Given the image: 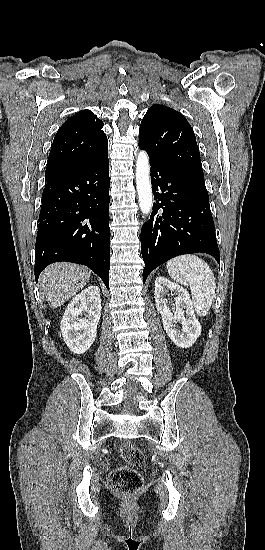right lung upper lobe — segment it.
Wrapping results in <instances>:
<instances>
[{"mask_svg": "<svg viewBox=\"0 0 265 550\" xmlns=\"http://www.w3.org/2000/svg\"><path fill=\"white\" fill-rule=\"evenodd\" d=\"M102 127L103 122L89 110L79 111L67 119L54 137L45 175L108 154L107 136Z\"/></svg>", "mask_w": 265, "mask_h": 550, "instance_id": "obj_1", "label": "right lung upper lobe"}]
</instances>
